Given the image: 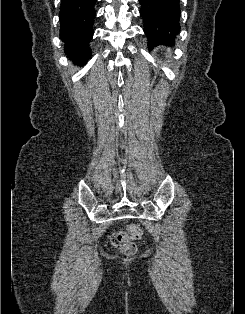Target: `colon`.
Returning a JSON list of instances; mask_svg holds the SVG:
<instances>
[{"mask_svg":"<svg viewBox=\"0 0 245 314\" xmlns=\"http://www.w3.org/2000/svg\"><path fill=\"white\" fill-rule=\"evenodd\" d=\"M142 236V230L138 225L132 224L125 231H119L112 235L111 242L123 254L131 256L136 252L135 241Z\"/></svg>","mask_w":245,"mask_h":314,"instance_id":"1","label":"colon"}]
</instances>
